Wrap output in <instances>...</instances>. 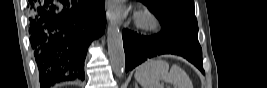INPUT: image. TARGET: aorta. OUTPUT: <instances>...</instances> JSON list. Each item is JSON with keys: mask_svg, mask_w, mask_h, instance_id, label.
Listing matches in <instances>:
<instances>
[{"mask_svg": "<svg viewBox=\"0 0 267 88\" xmlns=\"http://www.w3.org/2000/svg\"><path fill=\"white\" fill-rule=\"evenodd\" d=\"M107 45L112 69L117 77H122L126 65L123 39L117 23L113 21L107 27Z\"/></svg>", "mask_w": 267, "mask_h": 88, "instance_id": "obj_1", "label": "aorta"}]
</instances>
